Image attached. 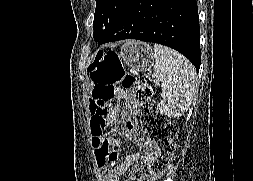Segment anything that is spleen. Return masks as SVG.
I'll list each match as a JSON object with an SVG mask.
<instances>
[{"instance_id": "3e777b00", "label": "spleen", "mask_w": 253, "mask_h": 181, "mask_svg": "<svg viewBox=\"0 0 253 181\" xmlns=\"http://www.w3.org/2000/svg\"><path fill=\"white\" fill-rule=\"evenodd\" d=\"M154 75L161 86V111L168 117H180L188 110L196 91L195 67L178 52L154 45Z\"/></svg>"}]
</instances>
